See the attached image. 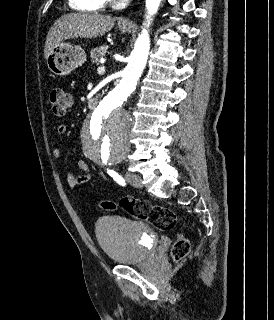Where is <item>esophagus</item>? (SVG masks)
<instances>
[{
  "mask_svg": "<svg viewBox=\"0 0 274 320\" xmlns=\"http://www.w3.org/2000/svg\"><path fill=\"white\" fill-rule=\"evenodd\" d=\"M118 22L120 25H128L130 23L128 18H120Z\"/></svg>",
  "mask_w": 274,
  "mask_h": 320,
  "instance_id": "1",
  "label": "esophagus"
}]
</instances>
